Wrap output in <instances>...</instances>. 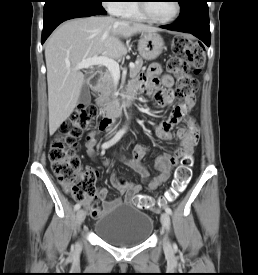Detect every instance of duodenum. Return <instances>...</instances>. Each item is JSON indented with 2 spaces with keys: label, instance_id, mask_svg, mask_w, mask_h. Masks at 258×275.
<instances>
[{
  "label": "duodenum",
  "instance_id": "410a0bca",
  "mask_svg": "<svg viewBox=\"0 0 258 275\" xmlns=\"http://www.w3.org/2000/svg\"><path fill=\"white\" fill-rule=\"evenodd\" d=\"M100 81L101 73L97 71L90 76L88 83L92 89H96L100 84ZM135 95L136 91L129 89L126 96H120L113 100L103 111L104 121L107 124H110L112 120L118 117L122 113V111L130 104Z\"/></svg>",
  "mask_w": 258,
  "mask_h": 275
}]
</instances>
